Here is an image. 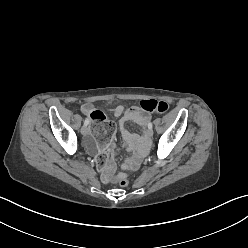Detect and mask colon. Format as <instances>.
<instances>
[{"label": "colon", "mask_w": 248, "mask_h": 248, "mask_svg": "<svg viewBox=\"0 0 248 248\" xmlns=\"http://www.w3.org/2000/svg\"><path fill=\"white\" fill-rule=\"evenodd\" d=\"M139 107L147 113H166L169 110V104L167 102L155 99L142 100ZM90 119L93 123L92 137L94 138V146L98 150H105L109 146V140L115 134L116 126L114 122L108 120L106 115L99 110L92 111ZM108 160L109 155L107 152H98L96 160L93 163L94 170L97 172L104 171ZM118 183L121 187H127L129 180L127 176L120 175L118 177Z\"/></svg>", "instance_id": "5ec220e1"}]
</instances>
